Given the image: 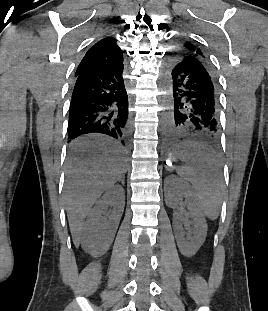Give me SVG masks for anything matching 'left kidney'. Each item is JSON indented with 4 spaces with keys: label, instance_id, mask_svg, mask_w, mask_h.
Instances as JSON below:
<instances>
[{
    "label": "left kidney",
    "instance_id": "5707ae66",
    "mask_svg": "<svg viewBox=\"0 0 268 311\" xmlns=\"http://www.w3.org/2000/svg\"><path fill=\"white\" fill-rule=\"evenodd\" d=\"M164 192L166 205L178 209L173 214V229L178 248L184 256L191 257L202 246L207 235V224L195 192L189 183L174 175L166 178ZM184 206L187 207V211L183 210ZM189 224L192 227L190 233L185 236L184 228L188 229Z\"/></svg>",
    "mask_w": 268,
    "mask_h": 311
}]
</instances>
